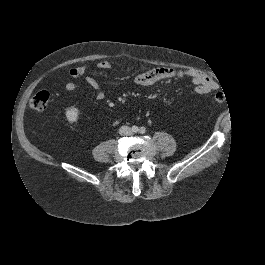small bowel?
Masks as SVG:
<instances>
[{"label":"small bowel","mask_w":265,"mask_h":265,"mask_svg":"<svg viewBox=\"0 0 265 265\" xmlns=\"http://www.w3.org/2000/svg\"><path fill=\"white\" fill-rule=\"evenodd\" d=\"M97 67L100 70H107L112 67V64L109 61H101L97 64ZM88 69V65L74 67L69 70V75L70 77L77 79L85 75ZM175 78L191 79L195 85V91L198 94H208L218 88V84L203 73L192 70L178 71L167 67L149 68L147 66H141L135 75L134 81L139 86H151L159 81ZM85 80L88 85L96 91L97 100H104L105 94L100 89L97 80L92 76H86ZM65 89L69 92L76 91L78 85L73 81H69L65 84Z\"/></svg>","instance_id":"c3829d8e"}]
</instances>
